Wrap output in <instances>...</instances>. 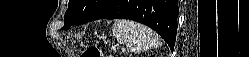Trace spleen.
<instances>
[{
    "mask_svg": "<svg viewBox=\"0 0 249 57\" xmlns=\"http://www.w3.org/2000/svg\"><path fill=\"white\" fill-rule=\"evenodd\" d=\"M113 35L117 41L135 53L162 45L160 37L148 27L130 20H117L113 24Z\"/></svg>",
    "mask_w": 249,
    "mask_h": 57,
    "instance_id": "3e777b00",
    "label": "spleen"
}]
</instances>
